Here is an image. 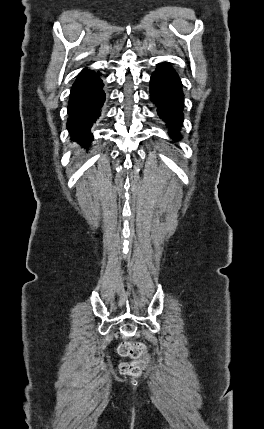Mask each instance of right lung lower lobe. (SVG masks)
<instances>
[{
  "mask_svg": "<svg viewBox=\"0 0 264 429\" xmlns=\"http://www.w3.org/2000/svg\"><path fill=\"white\" fill-rule=\"evenodd\" d=\"M101 73L83 69L75 80L68 102L67 129L71 137L89 147L91 128L101 115L105 101Z\"/></svg>",
  "mask_w": 264,
  "mask_h": 429,
  "instance_id": "obj_1",
  "label": "right lung lower lobe"
}]
</instances>
